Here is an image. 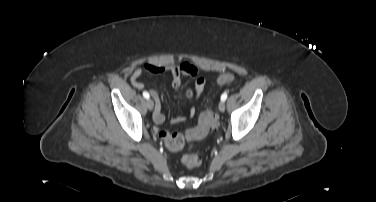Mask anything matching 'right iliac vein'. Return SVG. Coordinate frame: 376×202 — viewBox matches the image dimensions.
<instances>
[{
  "label": "right iliac vein",
  "instance_id": "63e3f726",
  "mask_svg": "<svg viewBox=\"0 0 376 202\" xmlns=\"http://www.w3.org/2000/svg\"><path fill=\"white\" fill-rule=\"evenodd\" d=\"M146 105H147V108H148L150 111L153 110L154 102H153L152 99H147Z\"/></svg>",
  "mask_w": 376,
  "mask_h": 202
}]
</instances>
